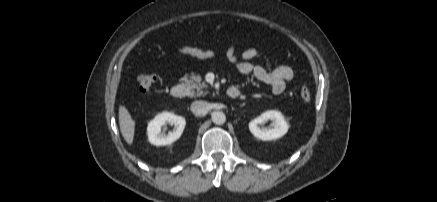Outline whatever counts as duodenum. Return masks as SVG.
Listing matches in <instances>:
<instances>
[{"instance_id": "duodenum-1", "label": "duodenum", "mask_w": 437, "mask_h": 202, "mask_svg": "<svg viewBox=\"0 0 437 202\" xmlns=\"http://www.w3.org/2000/svg\"><path fill=\"white\" fill-rule=\"evenodd\" d=\"M184 92H185V89H184L183 85H181V84H175L171 88V95L176 99L182 98L184 95ZM239 94H240V91L236 87H230L226 91V95L232 99L238 97Z\"/></svg>"}]
</instances>
